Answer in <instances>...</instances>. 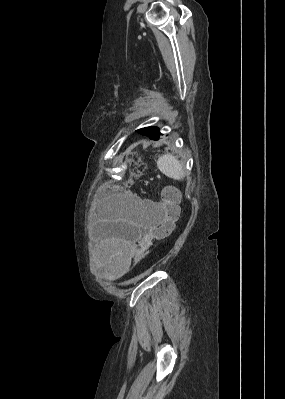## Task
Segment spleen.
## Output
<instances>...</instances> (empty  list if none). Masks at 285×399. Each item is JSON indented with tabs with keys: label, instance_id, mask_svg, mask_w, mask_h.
<instances>
[{
	"label": "spleen",
	"instance_id": "1",
	"mask_svg": "<svg viewBox=\"0 0 285 399\" xmlns=\"http://www.w3.org/2000/svg\"><path fill=\"white\" fill-rule=\"evenodd\" d=\"M157 166L167 177L181 180L184 178L185 170L178 158L170 153H166L158 158Z\"/></svg>",
	"mask_w": 285,
	"mask_h": 399
}]
</instances>
